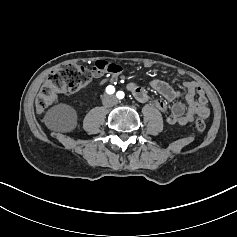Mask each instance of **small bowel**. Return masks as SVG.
<instances>
[{
    "label": "small bowel",
    "instance_id": "small-bowel-1",
    "mask_svg": "<svg viewBox=\"0 0 237 237\" xmlns=\"http://www.w3.org/2000/svg\"><path fill=\"white\" fill-rule=\"evenodd\" d=\"M150 86L164 98V100H154L153 105L161 112L167 114V122L169 124L186 126L197 117L206 119L209 116L210 112L207 106L208 101L205 92L195 81H186L183 83L186 89L187 107L180 102L172 105L169 104L180 97V92L175 90L167 82L153 78L150 81ZM127 88L139 102L150 100L148 92L140 84L130 82L127 84Z\"/></svg>",
    "mask_w": 237,
    "mask_h": 237
}]
</instances>
